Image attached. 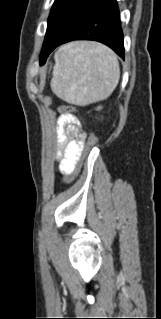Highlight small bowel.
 Here are the masks:
<instances>
[{
	"mask_svg": "<svg viewBox=\"0 0 161 319\" xmlns=\"http://www.w3.org/2000/svg\"><path fill=\"white\" fill-rule=\"evenodd\" d=\"M57 144L59 172L70 175L76 166L83 148L84 132L78 118L71 113H61L57 118Z\"/></svg>",
	"mask_w": 161,
	"mask_h": 319,
	"instance_id": "obj_1",
	"label": "small bowel"
}]
</instances>
